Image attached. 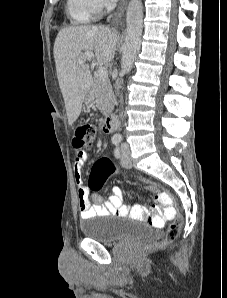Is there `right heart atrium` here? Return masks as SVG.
<instances>
[{
	"label": "right heart atrium",
	"mask_w": 227,
	"mask_h": 298,
	"mask_svg": "<svg viewBox=\"0 0 227 298\" xmlns=\"http://www.w3.org/2000/svg\"><path fill=\"white\" fill-rule=\"evenodd\" d=\"M77 5L91 16H96L110 7L111 0H74Z\"/></svg>",
	"instance_id": "d8ad5b80"
}]
</instances>
